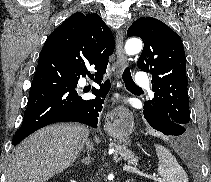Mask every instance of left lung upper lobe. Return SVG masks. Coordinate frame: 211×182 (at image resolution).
<instances>
[{
	"label": "left lung upper lobe",
	"instance_id": "left-lung-upper-lobe-1",
	"mask_svg": "<svg viewBox=\"0 0 211 182\" xmlns=\"http://www.w3.org/2000/svg\"><path fill=\"white\" fill-rule=\"evenodd\" d=\"M127 36L143 40L137 66L152 76L154 98L144 103L145 119L155 127L153 124L160 117L167 116L187 127L190 121L188 81L181 38L165 23L151 17L136 20Z\"/></svg>",
	"mask_w": 211,
	"mask_h": 182
}]
</instances>
